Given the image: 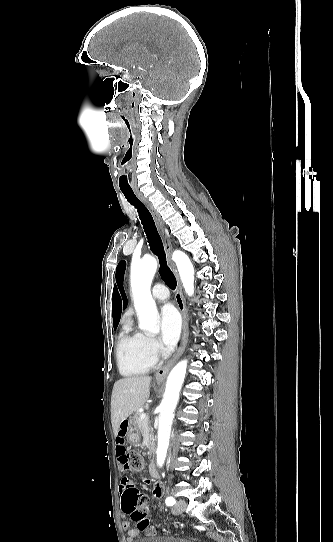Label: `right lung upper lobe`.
I'll return each instance as SVG.
<instances>
[{
  "instance_id": "right-lung-upper-lobe-1",
  "label": "right lung upper lobe",
  "mask_w": 333,
  "mask_h": 542,
  "mask_svg": "<svg viewBox=\"0 0 333 542\" xmlns=\"http://www.w3.org/2000/svg\"><path fill=\"white\" fill-rule=\"evenodd\" d=\"M112 313H113V326H118L121 316V299L118 294L116 286L113 290V302H112Z\"/></svg>"
}]
</instances>
